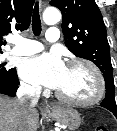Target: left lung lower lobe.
Segmentation results:
<instances>
[{
  "mask_svg": "<svg viewBox=\"0 0 117 131\" xmlns=\"http://www.w3.org/2000/svg\"><path fill=\"white\" fill-rule=\"evenodd\" d=\"M102 105V104H101ZM114 115H115V117L117 118V110H113V111H111Z\"/></svg>",
  "mask_w": 117,
  "mask_h": 131,
  "instance_id": "left-lung-lower-lobe-1",
  "label": "left lung lower lobe"
}]
</instances>
